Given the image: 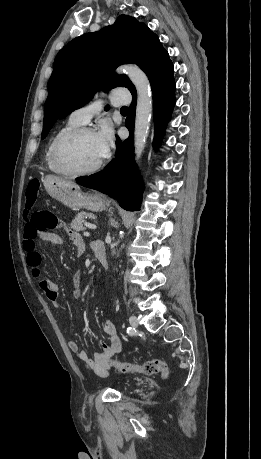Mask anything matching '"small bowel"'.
<instances>
[{
  "mask_svg": "<svg viewBox=\"0 0 261 459\" xmlns=\"http://www.w3.org/2000/svg\"><path fill=\"white\" fill-rule=\"evenodd\" d=\"M68 234L77 246L78 253L82 254L85 250V243L82 237L72 230H68ZM38 240L49 242L54 245H61L64 240L59 234L46 230L36 232L34 238H27L24 236L23 240V248L27 252V264L33 276L38 280L40 289L56 308L62 309L63 306L60 301L57 284L50 278V276L41 274L40 265L42 256L36 249ZM79 283L80 277L79 275H75L72 280V287L73 293L76 297H80ZM103 331L107 336V340L100 343L102 351L95 353L93 357H90L86 351L80 350L79 344L76 340L71 339L68 341L70 350L77 353L79 359L83 363L100 375H104L108 372V360L118 354L122 348L121 342L116 333V328L112 321H104Z\"/></svg>",
  "mask_w": 261,
  "mask_h": 459,
  "instance_id": "c3829d8e",
  "label": "small bowel"
}]
</instances>
